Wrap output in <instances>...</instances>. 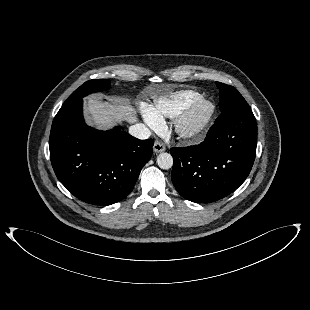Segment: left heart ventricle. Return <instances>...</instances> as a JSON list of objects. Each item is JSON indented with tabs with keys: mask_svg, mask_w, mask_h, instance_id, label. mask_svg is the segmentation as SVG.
<instances>
[{
	"mask_svg": "<svg viewBox=\"0 0 310 310\" xmlns=\"http://www.w3.org/2000/svg\"><path fill=\"white\" fill-rule=\"evenodd\" d=\"M206 112H207V106L206 105H201V106L197 107L191 115L190 125L194 126V125L198 124L201 121V119L204 117Z\"/></svg>",
	"mask_w": 310,
	"mask_h": 310,
	"instance_id": "left-heart-ventricle-1",
	"label": "left heart ventricle"
}]
</instances>
